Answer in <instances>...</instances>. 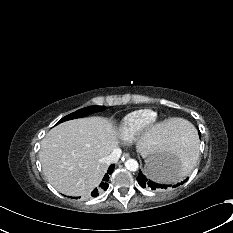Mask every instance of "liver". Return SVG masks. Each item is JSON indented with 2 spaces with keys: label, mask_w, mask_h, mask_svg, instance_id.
<instances>
[{
  "label": "liver",
  "mask_w": 233,
  "mask_h": 233,
  "mask_svg": "<svg viewBox=\"0 0 233 233\" xmlns=\"http://www.w3.org/2000/svg\"><path fill=\"white\" fill-rule=\"evenodd\" d=\"M183 120L169 119L151 127L137 150L146 157L158 148L173 150ZM119 132L102 117L70 120L51 129L39 152L43 173L59 192L69 196L90 193L107 171L106 158L118 145Z\"/></svg>",
  "instance_id": "liver-1"
}]
</instances>
